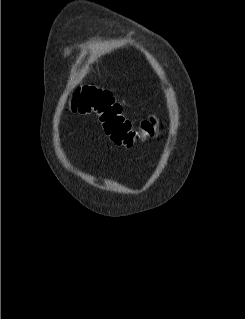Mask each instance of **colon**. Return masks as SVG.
I'll return each instance as SVG.
<instances>
[{
  "label": "colon",
  "mask_w": 245,
  "mask_h": 319,
  "mask_svg": "<svg viewBox=\"0 0 245 319\" xmlns=\"http://www.w3.org/2000/svg\"><path fill=\"white\" fill-rule=\"evenodd\" d=\"M71 109L74 113L95 115L102 124L104 134L118 146L131 147L138 141L152 137L158 125L157 118L150 117L134 127L122 114V106L112 94L92 85L75 90Z\"/></svg>",
  "instance_id": "colon-1"
}]
</instances>
